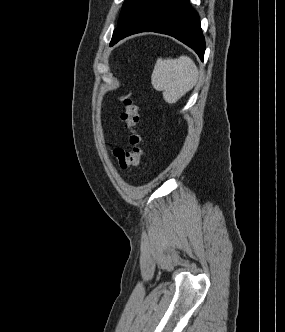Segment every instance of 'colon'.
Returning a JSON list of instances; mask_svg holds the SVG:
<instances>
[{
  "mask_svg": "<svg viewBox=\"0 0 285 332\" xmlns=\"http://www.w3.org/2000/svg\"><path fill=\"white\" fill-rule=\"evenodd\" d=\"M120 117L128 130V147L113 148L112 156L120 168H134L139 165L144 150L143 139L138 128L140 122L139 106L131 97L124 99Z\"/></svg>",
  "mask_w": 285,
  "mask_h": 332,
  "instance_id": "1",
  "label": "colon"
}]
</instances>
